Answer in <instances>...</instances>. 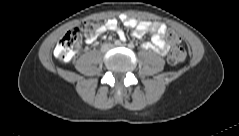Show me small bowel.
<instances>
[{"instance_id": "c3829d8e", "label": "small bowel", "mask_w": 239, "mask_h": 136, "mask_svg": "<svg viewBox=\"0 0 239 136\" xmlns=\"http://www.w3.org/2000/svg\"><path fill=\"white\" fill-rule=\"evenodd\" d=\"M120 21L131 29L132 35L135 37H141L147 32L151 34V41L144 44L145 48L152 49L161 55H165L168 52L169 45L165 39L167 27L164 23L137 21L126 15H121ZM107 31H116L120 40L124 41L126 39L124 32L118 29V21L116 19H109L100 27V33ZM94 41L95 38H86L85 40L86 44H92Z\"/></svg>"}]
</instances>
